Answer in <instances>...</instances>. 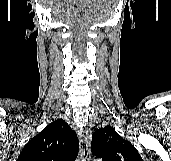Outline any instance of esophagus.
I'll return each instance as SVG.
<instances>
[{
	"instance_id": "1",
	"label": "esophagus",
	"mask_w": 171,
	"mask_h": 161,
	"mask_svg": "<svg viewBox=\"0 0 171 161\" xmlns=\"http://www.w3.org/2000/svg\"><path fill=\"white\" fill-rule=\"evenodd\" d=\"M79 156L80 161H90V135L88 129L79 132Z\"/></svg>"
}]
</instances>
